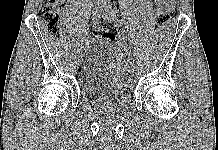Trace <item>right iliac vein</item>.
I'll return each instance as SVG.
<instances>
[{
	"mask_svg": "<svg viewBox=\"0 0 218 150\" xmlns=\"http://www.w3.org/2000/svg\"><path fill=\"white\" fill-rule=\"evenodd\" d=\"M101 16V10L98 7H95L92 11V17H100ZM85 48L83 47L82 49H80V53L79 56L83 57L85 54Z\"/></svg>",
	"mask_w": 218,
	"mask_h": 150,
	"instance_id": "63e3f726",
	"label": "right iliac vein"
}]
</instances>
